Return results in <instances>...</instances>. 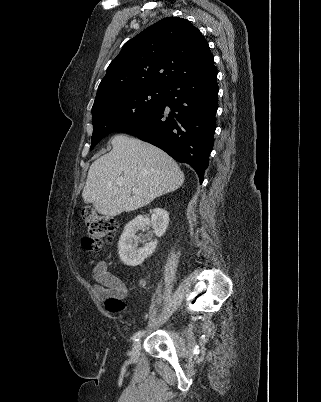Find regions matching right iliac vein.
Returning a JSON list of instances; mask_svg holds the SVG:
<instances>
[{
  "instance_id": "right-iliac-vein-1",
  "label": "right iliac vein",
  "mask_w": 321,
  "mask_h": 402,
  "mask_svg": "<svg viewBox=\"0 0 321 402\" xmlns=\"http://www.w3.org/2000/svg\"><path fill=\"white\" fill-rule=\"evenodd\" d=\"M140 349H141V341L137 340L133 343L131 354H130L132 361H136L138 359L139 354H140Z\"/></svg>"
}]
</instances>
